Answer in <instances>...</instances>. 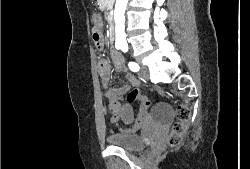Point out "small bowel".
<instances>
[{
  "instance_id": "small-bowel-1",
  "label": "small bowel",
  "mask_w": 250,
  "mask_h": 169,
  "mask_svg": "<svg viewBox=\"0 0 250 169\" xmlns=\"http://www.w3.org/2000/svg\"><path fill=\"white\" fill-rule=\"evenodd\" d=\"M93 21L97 22L100 26V19H94ZM104 47V43L102 45L97 46L96 48L101 51ZM113 65L116 71L124 72L125 71V61L124 58L121 56L120 53L117 51L111 52ZM98 70L102 78L103 85L106 89L105 91V98L108 100L109 103H121L122 107V120L126 124H133L134 123V115L133 110L131 107V103L126 98V93L131 91L134 88H138L140 86V81L132 74L126 75L127 84L123 85H115L112 84V76L109 63L105 60H101L98 63ZM111 110V108H110ZM117 122L118 120H111Z\"/></svg>"
}]
</instances>
